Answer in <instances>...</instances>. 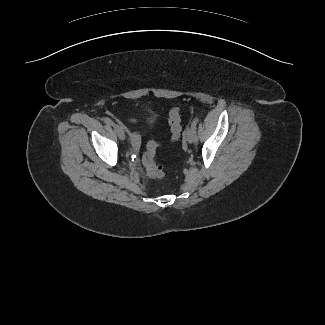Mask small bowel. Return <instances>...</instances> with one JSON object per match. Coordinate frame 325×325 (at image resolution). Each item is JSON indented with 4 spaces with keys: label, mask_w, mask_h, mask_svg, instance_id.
<instances>
[{
    "label": "small bowel",
    "mask_w": 325,
    "mask_h": 325,
    "mask_svg": "<svg viewBox=\"0 0 325 325\" xmlns=\"http://www.w3.org/2000/svg\"><path fill=\"white\" fill-rule=\"evenodd\" d=\"M129 121L131 123L139 122V120L137 118H130ZM130 138H131L133 149L135 151H138L141 146V134L137 131H132V132H130Z\"/></svg>",
    "instance_id": "obj_1"
}]
</instances>
